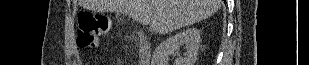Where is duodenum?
<instances>
[{
    "mask_svg": "<svg viewBox=\"0 0 309 65\" xmlns=\"http://www.w3.org/2000/svg\"><path fill=\"white\" fill-rule=\"evenodd\" d=\"M151 55V48L146 37L142 36L139 39V62L140 65H148Z\"/></svg>",
    "mask_w": 309,
    "mask_h": 65,
    "instance_id": "410a0bca",
    "label": "duodenum"
}]
</instances>
